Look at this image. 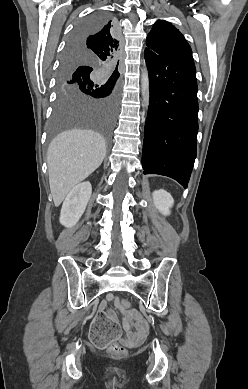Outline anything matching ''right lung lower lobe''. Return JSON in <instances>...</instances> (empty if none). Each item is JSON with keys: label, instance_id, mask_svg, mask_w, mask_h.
I'll use <instances>...</instances> for the list:
<instances>
[{"label": "right lung lower lobe", "instance_id": "98d812e1", "mask_svg": "<svg viewBox=\"0 0 248 389\" xmlns=\"http://www.w3.org/2000/svg\"><path fill=\"white\" fill-rule=\"evenodd\" d=\"M81 39L82 38H78V39H76L74 42L77 44V43H79L80 41H81ZM76 46V45H75ZM75 46H69L68 44H67V47H66V50H65V52L64 53H67L68 55H73V54H76L75 52H74V47ZM85 72V70H76L75 72H74V74L75 75H78V74H81V73H84Z\"/></svg>", "mask_w": 248, "mask_h": 389}]
</instances>
